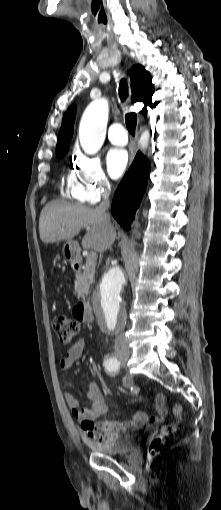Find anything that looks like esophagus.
Here are the masks:
<instances>
[{
    "label": "esophagus",
    "instance_id": "34e87169",
    "mask_svg": "<svg viewBox=\"0 0 221 510\" xmlns=\"http://www.w3.org/2000/svg\"><path fill=\"white\" fill-rule=\"evenodd\" d=\"M134 155H135V149H134V147H132V148L130 149V159H131V160L134 158Z\"/></svg>",
    "mask_w": 221,
    "mask_h": 510
}]
</instances>
